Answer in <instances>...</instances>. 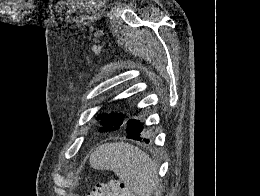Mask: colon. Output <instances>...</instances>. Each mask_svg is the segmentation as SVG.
Segmentation results:
<instances>
[{
  "label": "colon",
  "instance_id": "colon-1",
  "mask_svg": "<svg viewBox=\"0 0 260 196\" xmlns=\"http://www.w3.org/2000/svg\"><path fill=\"white\" fill-rule=\"evenodd\" d=\"M114 195L116 196V195H118V194L114 192Z\"/></svg>",
  "mask_w": 260,
  "mask_h": 196
}]
</instances>
